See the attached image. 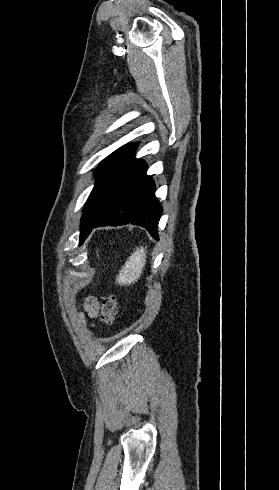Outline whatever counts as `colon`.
I'll use <instances>...</instances> for the list:
<instances>
[{
  "label": "colon",
  "mask_w": 279,
  "mask_h": 490,
  "mask_svg": "<svg viewBox=\"0 0 279 490\" xmlns=\"http://www.w3.org/2000/svg\"><path fill=\"white\" fill-rule=\"evenodd\" d=\"M119 302L115 295L109 294L102 298L99 318L102 324L112 325L117 317Z\"/></svg>",
  "instance_id": "5ec220e1"
}]
</instances>
